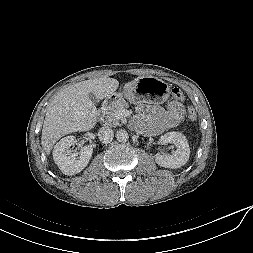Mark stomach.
<instances>
[{
	"label": "stomach",
	"mask_w": 253,
	"mask_h": 253,
	"mask_svg": "<svg viewBox=\"0 0 253 253\" xmlns=\"http://www.w3.org/2000/svg\"><path fill=\"white\" fill-rule=\"evenodd\" d=\"M170 96V85L165 81L153 77H140L135 85L124 88L122 92L113 93L108 97V101L115 103L122 98H126L130 103L146 102L150 104H162Z\"/></svg>",
	"instance_id": "obj_1"
}]
</instances>
